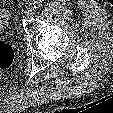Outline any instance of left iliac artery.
<instances>
[{"label":"left iliac artery","mask_w":113,"mask_h":113,"mask_svg":"<svg viewBox=\"0 0 113 113\" xmlns=\"http://www.w3.org/2000/svg\"><path fill=\"white\" fill-rule=\"evenodd\" d=\"M33 5L35 9H39L42 6V1L41 0L34 1Z\"/></svg>","instance_id":"44dca946"}]
</instances>
